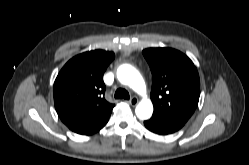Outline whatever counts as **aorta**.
I'll list each match as a JSON object with an SVG mask.
<instances>
[{"label": "aorta", "instance_id": "obj_1", "mask_svg": "<svg viewBox=\"0 0 249 165\" xmlns=\"http://www.w3.org/2000/svg\"><path fill=\"white\" fill-rule=\"evenodd\" d=\"M118 80L125 85H128L136 93L145 96L146 85L141 74L132 66L123 65L117 70ZM135 113L141 120H147L152 116L153 104L150 99L144 97L136 106Z\"/></svg>", "mask_w": 249, "mask_h": 165}]
</instances>
